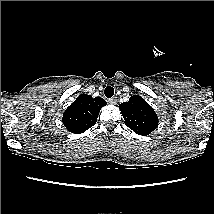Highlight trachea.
I'll return each instance as SVG.
<instances>
[{"mask_svg": "<svg viewBox=\"0 0 214 214\" xmlns=\"http://www.w3.org/2000/svg\"><path fill=\"white\" fill-rule=\"evenodd\" d=\"M104 94L107 98H111L114 95V89L111 86H108L104 90Z\"/></svg>", "mask_w": 214, "mask_h": 214, "instance_id": "3493384b", "label": "trachea"}]
</instances>
